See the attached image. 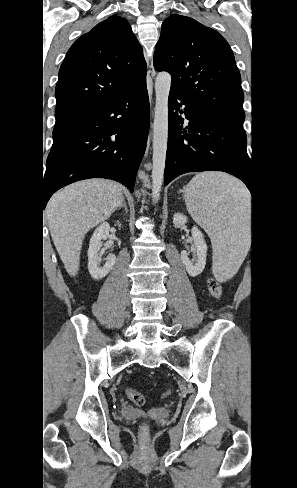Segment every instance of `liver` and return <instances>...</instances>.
<instances>
[{"mask_svg":"<svg viewBox=\"0 0 297 488\" xmlns=\"http://www.w3.org/2000/svg\"><path fill=\"white\" fill-rule=\"evenodd\" d=\"M122 202L118 184L104 179L73 183L51 197L46 217L52 240L69 275L78 274L85 234L108 219Z\"/></svg>","mask_w":297,"mask_h":488,"instance_id":"1","label":"liver"}]
</instances>
